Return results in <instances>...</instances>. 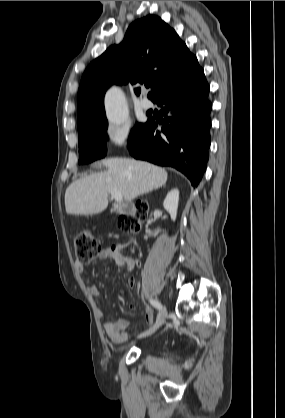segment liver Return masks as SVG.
<instances>
[{
  "label": "liver",
  "instance_id": "obj_1",
  "mask_svg": "<svg viewBox=\"0 0 285 418\" xmlns=\"http://www.w3.org/2000/svg\"><path fill=\"white\" fill-rule=\"evenodd\" d=\"M107 170L71 183L65 192V208L69 215H93L108 206L110 191L122 193L126 202L165 185V169L130 158H108L94 164Z\"/></svg>",
  "mask_w": 285,
  "mask_h": 418
}]
</instances>
